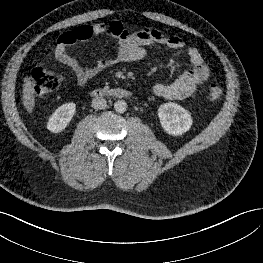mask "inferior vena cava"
Segmentation results:
<instances>
[{
    "label": "inferior vena cava",
    "mask_w": 263,
    "mask_h": 263,
    "mask_svg": "<svg viewBox=\"0 0 263 263\" xmlns=\"http://www.w3.org/2000/svg\"><path fill=\"white\" fill-rule=\"evenodd\" d=\"M107 101L103 97H96L92 100V107L94 109H105Z\"/></svg>",
    "instance_id": "602c4592"
}]
</instances>
